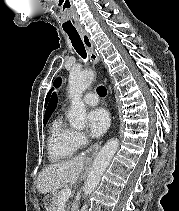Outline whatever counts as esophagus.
Wrapping results in <instances>:
<instances>
[{
  "mask_svg": "<svg viewBox=\"0 0 179 211\" xmlns=\"http://www.w3.org/2000/svg\"><path fill=\"white\" fill-rule=\"evenodd\" d=\"M79 34L87 47L91 63L93 66L96 65L99 62V54L97 53L93 43L85 31L80 30ZM100 147L101 143L95 145L94 147H88V151H83L82 159H86V163H93V156H96V152H99Z\"/></svg>",
  "mask_w": 179,
  "mask_h": 211,
  "instance_id": "esophagus-1",
  "label": "esophagus"
}]
</instances>
